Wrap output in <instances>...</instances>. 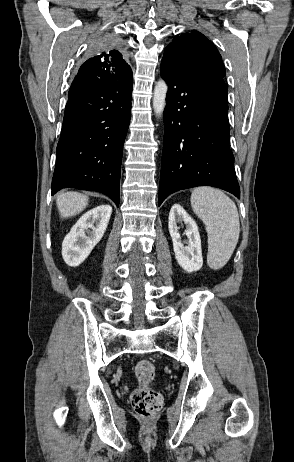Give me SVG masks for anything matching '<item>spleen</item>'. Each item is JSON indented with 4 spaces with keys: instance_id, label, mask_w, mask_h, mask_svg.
<instances>
[{
    "instance_id": "obj_1",
    "label": "spleen",
    "mask_w": 294,
    "mask_h": 462,
    "mask_svg": "<svg viewBox=\"0 0 294 462\" xmlns=\"http://www.w3.org/2000/svg\"><path fill=\"white\" fill-rule=\"evenodd\" d=\"M191 206L206 226L208 265L219 269L228 262L238 242L240 222L236 205L218 189L198 187L191 194Z\"/></svg>"
}]
</instances>
